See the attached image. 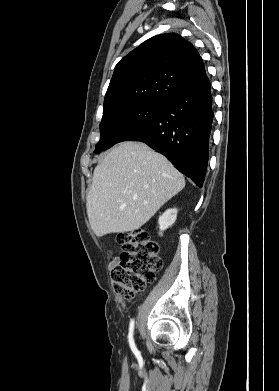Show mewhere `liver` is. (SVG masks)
Returning a JSON list of instances; mask_svg holds the SVG:
<instances>
[{
    "instance_id": "liver-1",
    "label": "liver",
    "mask_w": 279,
    "mask_h": 391,
    "mask_svg": "<svg viewBox=\"0 0 279 391\" xmlns=\"http://www.w3.org/2000/svg\"><path fill=\"white\" fill-rule=\"evenodd\" d=\"M185 186L183 175L141 142H122L98 164L87 196L96 236L134 231Z\"/></svg>"
}]
</instances>
